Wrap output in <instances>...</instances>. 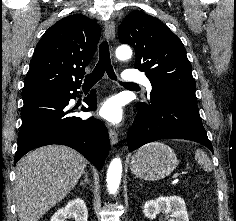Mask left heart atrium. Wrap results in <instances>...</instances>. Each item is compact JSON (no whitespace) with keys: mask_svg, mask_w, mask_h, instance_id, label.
Instances as JSON below:
<instances>
[{"mask_svg":"<svg viewBox=\"0 0 236 221\" xmlns=\"http://www.w3.org/2000/svg\"><path fill=\"white\" fill-rule=\"evenodd\" d=\"M97 115L111 124L118 125L124 120V109L118 98H108L101 103Z\"/></svg>","mask_w":236,"mask_h":221,"instance_id":"1","label":"left heart atrium"}]
</instances>
